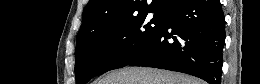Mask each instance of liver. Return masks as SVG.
<instances>
[{
    "instance_id": "obj_1",
    "label": "liver",
    "mask_w": 260,
    "mask_h": 84,
    "mask_svg": "<svg viewBox=\"0 0 260 84\" xmlns=\"http://www.w3.org/2000/svg\"><path fill=\"white\" fill-rule=\"evenodd\" d=\"M95 84H205L196 77L149 67H125L112 71Z\"/></svg>"
}]
</instances>
